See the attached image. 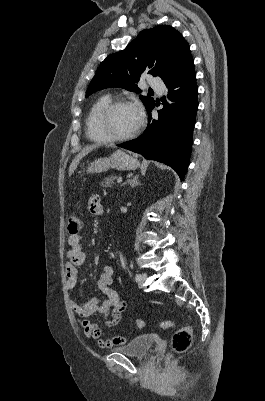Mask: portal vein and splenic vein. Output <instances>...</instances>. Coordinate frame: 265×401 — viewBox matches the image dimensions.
<instances>
[{"label": "portal vein and splenic vein", "mask_w": 265, "mask_h": 401, "mask_svg": "<svg viewBox=\"0 0 265 401\" xmlns=\"http://www.w3.org/2000/svg\"><path fill=\"white\" fill-rule=\"evenodd\" d=\"M117 182H122V178H117Z\"/></svg>", "instance_id": "1"}]
</instances>
